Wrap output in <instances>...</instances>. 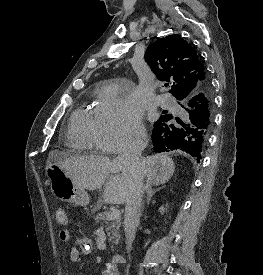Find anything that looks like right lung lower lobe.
Returning <instances> with one entry per match:
<instances>
[{"instance_id": "obj_1", "label": "right lung lower lobe", "mask_w": 263, "mask_h": 275, "mask_svg": "<svg viewBox=\"0 0 263 275\" xmlns=\"http://www.w3.org/2000/svg\"><path fill=\"white\" fill-rule=\"evenodd\" d=\"M183 100L185 110L183 120L171 114L162 115L155 123L152 142L155 152L180 150L201 159L212 123L209 124V109L212 88L207 81L193 94H184L177 98Z\"/></svg>"}]
</instances>
